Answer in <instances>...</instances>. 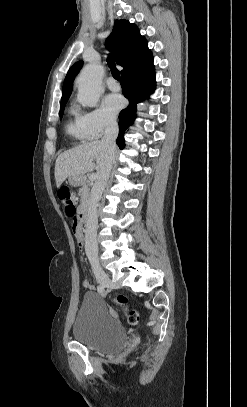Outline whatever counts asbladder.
Segmentation results:
<instances>
[{
    "instance_id": "1",
    "label": "bladder",
    "mask_w": 247,
    "mask_h": 407,
    "mask_svg": "<svg viewBox=\"0 0 247 407\" xmlns=\"http://www.w3.org/2000/svg\"><path fill=\"white\" fill-rule=\"evenodd\" d=\"M73 337L88 347L104 353H115L127 342L123 324L111 313L103 298L86 294L73 324Z\"/></svg>"
}]
</instances>
